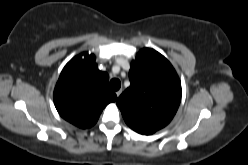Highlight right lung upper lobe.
<instances>
[{
	"instance_id": "1",
	"label": "right lung upper lobe",
	"mask_w": 248,
	"mask_h": 165,
	"mask_svg": "<svg viewBox=\"0 0 248 165\" xmlns=\"http://www.w3.org/2000/svg\"><path fill=\"white\" fill-rule=\"evenodd\" d=\"M108 80V74L98 70L93 54L74 57L62 70L54 90L58 113L80 128L93 126L105 106L117 99Z\"/></svg>"
}]
</instances>
